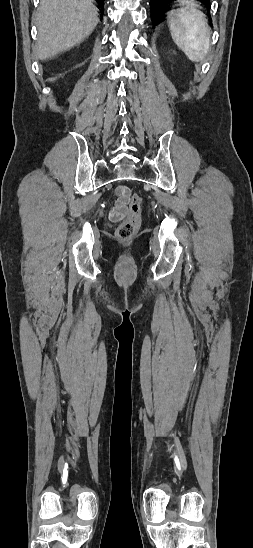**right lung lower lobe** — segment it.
Here are the masks:
<instances>
[{
  "label": "right lung lower lobe",
  "instance_id": "right-lung-lower-lobe-1",
  "mask_svg": "<svg viewBox=\"0 0 253 548\" xmlns=\"http://www.w3.org/2000/svg\"><path fill=\"white\" fill-rule=\"evenodd\" d=\"M96 1H97V2L99 3V5H100L101 9H103V6H104V0H96Z\"/></svg>",
  "mask_w": 253,
  "mask_h": 548
}]
</instances>
